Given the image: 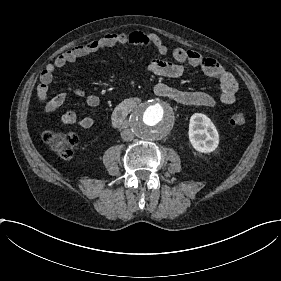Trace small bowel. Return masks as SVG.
Segmentation results:
<instances>
[{
    "instance_id": "c3829d8e",
    "label": "small bowel",
    "mask_w": 281,
    "mask_h": 281,
    "mask_svg": "<svg viewBox=\"0 0 281 281\" xmlns=\"http://www.w3.org/2000/svg\"><path fill=\"white\" fill-rule=\"evenodd\" d=\"M118 46H142L159 54H170L179 64L163 60H153L146 66V72L158 77L178 79L185 73L183 64L199 68L208 76L219 81L221 86L220 97L223 104L231 105L235 101L238 91L236 79L216 60L194 50H187L178 46L169 48L162 38L154 33L132 30L124 33H108L99 39L77 45L59 56L53 64L47 66L41 74L37 89L38 103L43 107L44 112L46 114L54 113L67 100V93L64 91L58 92L50 99L49 85L56 69L63 68L66 64L72 63L85 55ZM154 92L183 106L213 107L216 104L215 96L204 90L181 89L160 82L155 84ZM75 94L79 97H84L87 104L92 108L97 107L99 104V98L95 94L88 93L82 89L76 90ZM58 122L62 125H78L82 128H90L94 125L95 119L93 117L79 119L74 113H66L58 118Z\"/></svg>"
}]
</instances>
